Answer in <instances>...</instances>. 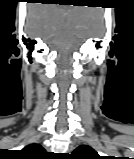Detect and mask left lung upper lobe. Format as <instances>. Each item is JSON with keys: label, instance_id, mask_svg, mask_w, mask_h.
I'll return each instance as SVG.
<instances>
[{"label": "left lung upper lobe", "instance_id": "obj_1", "mask_svg": "<svg viewBox=\"0 0 134 159\" xmlns=\"http://www.w3.org/2000/svg\"><path fill=\"white\" fill-rule=\"evenodd\" d=\"M71 159H103L94 151L91 147L87 145L79 146L70 157Z\"/></svg>", "mask_w": 134, "mask_h": 159}]
</instances>
